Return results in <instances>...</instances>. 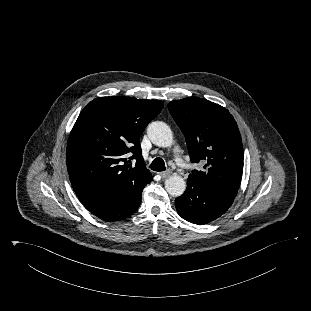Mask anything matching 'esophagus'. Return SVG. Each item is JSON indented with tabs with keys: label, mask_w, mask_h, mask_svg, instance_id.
I'll list each match as a JSON object with an SVG mask.
<instances>
[{
	"label": "esophagus",
	"mask_w": 311,
	"mask_h": 311,
	"mask_svg": "<svg viewBox=\"0 0 311 311\" xmlns=\"http://www.w3.org/2000/svg\"><path fill=\"white\" fill-rule=\"evenodd\" d=\"M172 172L170 170H167V171H164V172H161L160 173V176L163 178V179H166L168 178L169 176H171Z\"/></svg>",
	"instance_id": "obj_1"
}]
</instances>
